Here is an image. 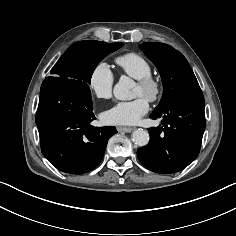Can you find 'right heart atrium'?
Wrapping results in <instances>:
<instances>
[{
  "label": "right heart atrium",
  "mask_w": 236,
  "mask_h": 236,
  "mask_svg": "<svg viewBox=\"0 0 236 236\" xmlns=\"http://www.w3.org/2000/svg\"><path fill=\"white\" fill-rule=\"evenodd\" d=\"M87 85L96 98H109L114 85V74L110 66L105 62L96 64L89 73Z\"/></svg>",
  "instance_id": "right-heart-atrium-1"
}]
</instances>
